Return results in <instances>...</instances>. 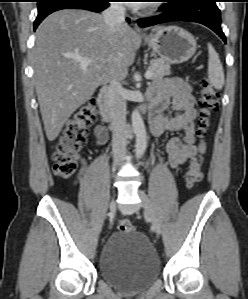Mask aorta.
Here are the masks:
<instances>
[{
  "mask_svg": "<svg viewBox=\"0 0 248 299\" xmlns=\"http://www.w3.org/2000/svg\"><path fill=\"white\" fill-rule=\"evenodd\" d=\"M132 127L136 135V156L140 158L147 148V134L143 119L138 112L134 110L131 116Z\"/></svg>",
  "mask_w": 248,
  "mask_h": 299,
  "instance_id": "obj_1",
  "label": "aorta"
}]
</instances>
